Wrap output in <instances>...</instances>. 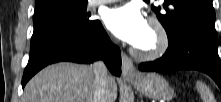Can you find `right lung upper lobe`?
<instances>
[{
	"label": "right lung upper lobe",
	"instance_id": "obj_1",
	"mask_svg": "<svg viewBox=\"0 0 221 102\" xmlns=\"http://www.w3.org/2000/svg\"><path fill=\"white\" fill-rule=\"evenodd\" d=\"M46 0H36V6L40 5L41 3L45 2Z\"/></svg>",
	"mask_w": 221,
	"mask_h": 102
}]
</instances>
